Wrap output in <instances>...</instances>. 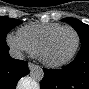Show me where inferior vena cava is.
<instances>
[{
	"instance_id": "inferior-vena-cava-1",
	"label": "inferior vena cava",
	"mask_w": 89,
	"mask_h": 89,
	"mask_svg": "<svg viewBox=\"0 0 89 89\" xmlns=\"http://www.w3.org/2000/svg\"><path fill=\"white\" fill-rule=\"evenodd\" d=\"M9 54H10V56L12 58L19 59V60H23L24 59V55L20 51H18L16 49H11L9 51Z\"/></svg>"
}]
</instances>
